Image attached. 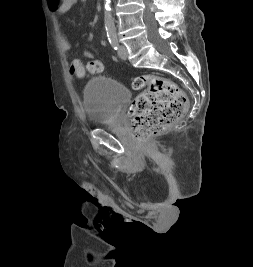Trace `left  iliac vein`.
I'll return each instance as SVG.
<instances>
[{"mask_svg": "<svg viewBox=\"0 0 253 267\" xmlns=\"http://www.w3.org/2000/svg\"><path fill=\"white\" fill-rule=\"evenodd\" d=\"M118 55L121 59L126 60L128 57V51L126 46L120 45L118 49Z\"/></svg>", "mask_w": 253, "mask_h": 267, "instance_id": "left-iliac-vein-1", "label": "left iliac vein"}]
</instances>
